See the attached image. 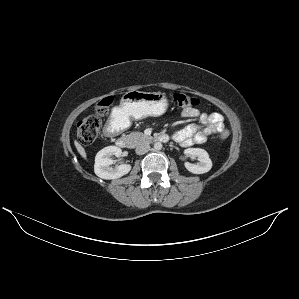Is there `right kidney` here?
I'll list each match as a JSON object with an SVG mask.
<instances>
[{"mask_svg":"<svg viewBox=\"0 0 299 299\" xmlns=\"http://www.w3.org/2000/svg\"><path fill=\"white\" fill-rule=\"evenodd\" d=\"M122 150L117 146H107L101 149L95 157L94 172L95 174L106 180L117 179L126 174L131 170V165L122 164L116 168H112L110 165L113 164L111 159L112 155L117 157L121 156Z\"/></svg>","mask_w":299,"mask_h":299,"instance_id":"ca27d5eb","label":"right kidney"}]
</instances>
